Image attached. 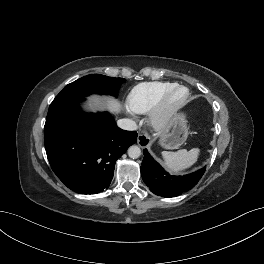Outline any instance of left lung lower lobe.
I'll list each match as a JSON object with an SVG mask.
<instances>
[{
    "mask_svg": "<svg viewBox=\"0 0 264 264\" xmlns=\"http://www.w3.org/2000/svg\"><path fill=\"white\" fill-rule=\"evenodd\" d=\"M144 158L141 175L150 190L159 196L175 197L193 188L205 172V167L188 175L172 176L148 153L143 150Z\"/></svg>",
    "mask_w": 264,
    "mask_h": 264,
    "instance_id": "obj_1",
    "label": "left lung lower lobe"
}]
</instances>
